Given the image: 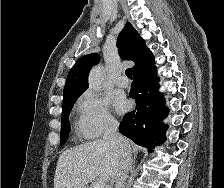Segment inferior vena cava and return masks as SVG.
Wrapping results in <instances>:
<instances>
[{
	"label": "inferior vena cava",
	"instance_id": "1",
	"mask_svg": "<svg viewBox=\"0 0 224 188\" xmlns=\"http://www.w3.org/2000/svg\"><path fill=\"white\" fill-rule=\"evenodd\" d=\"M118 126L116 120H110L105 129L103 140L119 151L120 162L115 176V188H123L131 168V147L129 142L118 132Z\"/></svg>",
	"mask_w": 224,
	"mask_h": 188
}]
</instances>
